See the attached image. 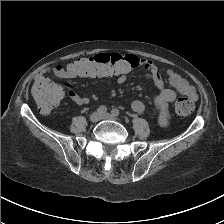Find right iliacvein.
Returning <instances> with one entry per match:
<instances>
[{"label":"right iliac vein","mask_w":224,"mask_h":224,"mask_svg":"<svg viewBox=\"0 0 224 224\" xmlns=\"http://www.w3.org/2000/svg\"><path fill=\"white\" fill-rule=\"evenodd\" d=\"M101 118H102V116L99 112H94L90 116V121L93 123H96V122L100 121Z\"/></svg>","instance_id":"obj_1"}]
</instances>
